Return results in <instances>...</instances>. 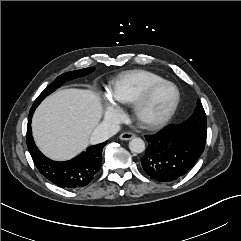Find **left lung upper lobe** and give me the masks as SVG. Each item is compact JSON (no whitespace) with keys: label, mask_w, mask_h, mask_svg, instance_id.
I'll list each match as a JSON object with an SVG mask.
<instances>
[{"label":"left lung upper lobe","mask_w":241,"mask_h":241,"mask_svg":"<svg viewBox=\"0 0 241 241\" xmlns=\"http://www.w3.org/2000/svg\"><path fill=\"white\" fill-rule=\"evenodd\" d=\"M180 125L191 129L203 142H206L207 120L200 100L197 101V106L192 116Z\"/></svg>","instance_id":"1"}]
</instances>
